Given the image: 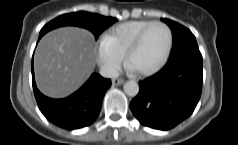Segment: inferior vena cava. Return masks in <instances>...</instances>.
Instances as JSON below:
<instances>
[{
    "mask_svg": "<svg viewBox=\"0 0 238 145\" xmlns=\"http://www.w3.org/2000/svg\"><path fill=\"white\" fill-rule=\"evenodd\" d=\"M99 73L105 78H117L119 76L117 69L108 65L101 66Z\"/></svg>",
    "mask_w": 238,
    "mask_h": 145,
    "instance_id": "inferior-vena-cava-1",
    "label": "inferior vena cava"
}]
</instances>
